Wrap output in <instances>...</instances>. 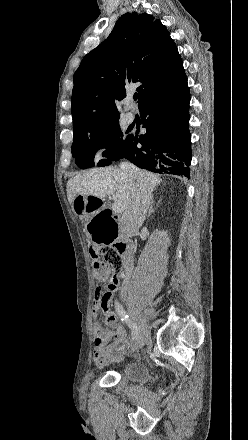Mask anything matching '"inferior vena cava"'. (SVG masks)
Returning a JSON list of instances; mask_svg holds the SVG:
<instances>
[{
	"label": "inferior vena cava",
	"mask_w": 248,
	"mask_h": 440,
	"mask_svg": "<svg viewBox=\"0 0 248 440\" xmlns=\"http://www.w3.org/2000/svg\"><path fill=\"white\" fill-rule=\"evenodd\" d=\"M120 169L135 182V191L130 204L121 217V226L128 237L134 236L142 226L150 206L151 191L140 169L129 162H122ZM131 257L124 258L126 271Z\"/></svg>",
	"instance_id": "1"
}]
</instances>
